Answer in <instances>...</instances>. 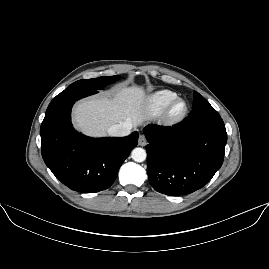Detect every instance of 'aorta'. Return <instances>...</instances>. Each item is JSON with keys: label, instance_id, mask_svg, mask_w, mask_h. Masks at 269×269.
<instances>
[{"label": "aorta", "instance_id": "obj_1", "mask_svg": "<svg viewBox=\"0 0 269 269\" xmlns=\"http://www.w3.org/2000/svg\"><path fill=\"white\" fill-rule=\"evenodd\" d=\"M131 156L134 161L143 162L146 159V151L143 148H135Z\"/></svg>", "mask_w": 269, "mask_h": 269}]
</instances>
